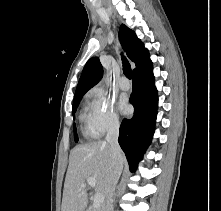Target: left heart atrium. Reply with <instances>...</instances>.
<instances>
[{"label": "left heart atrium", "mask_w": 221, "mask_h": 211, "mask_svg": "<svg viewBox=\"0 0 221 211\" xmlns=\"http://www.w3.org/2000/svg\"><path fill=\"white\" fill-rule=\"evenodd\" d=\"M119 110L123 114H128L130 111V105L128 104L126 98H121L118 103Z\"/></svg>", "instance_id": "39dd6f15"}]
</instances>
